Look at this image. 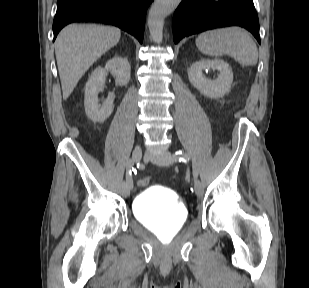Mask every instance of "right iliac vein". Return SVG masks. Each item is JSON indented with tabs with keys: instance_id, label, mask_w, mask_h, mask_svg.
<instances>
[{
	"instance_id": "right-iliac-vein-1",
	"label": "right iliac vein",
	"mask_w": 309,
	"mask_h": 288,
	"mask_svg": "<svg viewBox=\"0 0 309 288\" xmlns=\"http://www.w3.org/2000/svg\"><path fill=\"white\" fill-rule=\"evenodd\" d=\"M143 152L142 149L140 147H135L133 152H132V161L138 160L140 161L142 158ZM133 186L128 187L126 184V188L124 191V195L128 196L130 194V190L132 189Z\"/></svg>"
}]
</instances>
